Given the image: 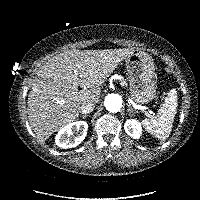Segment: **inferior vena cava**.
I'll return each mask as SVG.
<instances>
[{
  "label": "inferior vena cava",
  "instance_id": "obj_1",
  "mask_svg": "<svg viewBox=\"0 0 200 200\" xmlns=\"http://www.w3.org/2000/svg\"><path fill=\"white\" fill-rule=\"evenodd\" d=\"M94 107H95V103L93 101L86 100L81 104L80 112L82 114H88L93 111Z\"/></svg>",
  "mask_w": 200,
  "mask_h": 200
}]
</instances>
